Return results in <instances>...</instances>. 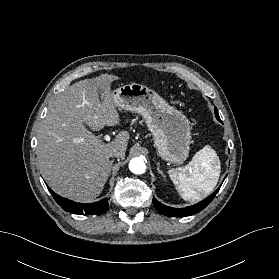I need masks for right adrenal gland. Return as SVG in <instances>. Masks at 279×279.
<instances>
[{
    "instance_id": "right-adrenal-gland-1",
    "label": "right adrenal gland",
    "mask_w": 279,
    "mask_h": 279,
    "mask_svg": "<svg viewBox=\"0 0 279 279\" xmlns=\"http://www.w3.org/2000/svg\"><path fill=\"white\" fill-rule=\"evenodd\" d=\"M113 162H114V159L111 160V167H112V165H113ZM110 172H111V168H110Z\"/></svg>"
}]
</instances>
